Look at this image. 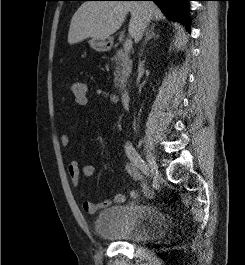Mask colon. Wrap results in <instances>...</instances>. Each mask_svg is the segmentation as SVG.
Returning a JSON list of instances; mask_svg holds the SVG:
<instances>
[{"instance_id":"5ec220e1","label":"colon","mask_w":245,"mask_h":265,"mask_svg":"<svg viewBox=\"0 0 245 265\" xmlns=\"http://www.w3.org/2000/svg\"><path fill=\"white\" fill-rule=\"evenodd\" d=\"M70 92L74 102L78 106H85L89 102L87 86L80 81H74L70 85Z\"/></svg>"}]
</instances>
